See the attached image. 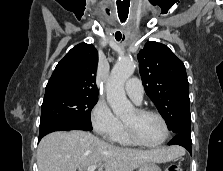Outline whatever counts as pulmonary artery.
<instances>
[{
  "mask_svg": "<svg viewBox=\"0 0 223 171\" xmlns=\"http://www.w3.org/2000/svg\"><path fill=\"white\" fill-rule=\"evenodd\" d=\"M125 91L135 103H141L143 99L144 89L139 79H129L125 84Z\"/></svg>",
  "mask_w": 223,
  "mask_h": 171,
  "instance_id": "pulmonary-artery-1",
  "label": "pulmonary artery"
}]
</instances>
